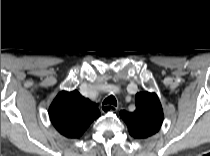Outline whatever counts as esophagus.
<instances>
[{
  "mask_svg": "<svg viewBox=\"0 0 210 156\" xmlns=\"http://www.w3.org/2000/svg\"><path fill=\"white\" fill-rule=\"evenodd\" d=\"M114 109H117L114 105L104 104L101 105L102 112H112Z\"/></svg>",
  "mask_w": 210,
  "mask_h": 156,
  "instance_id": "34e87169",
  "label": "esophagus"
}]
</instances>
